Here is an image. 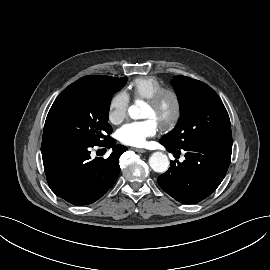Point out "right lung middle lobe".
<instances>
[{
	"instance_id": "right-lung-middle-lobe-1",
	"label": "right lung middle lobe",
	"mask_w": 270,
	"mask_h": 270,
	"mask_svg": "<svg viewBox=\"0 0 270 270\" xmlns=\"http://www.w3.org/2000/svg\"><path fill=\"white\" fill-rule=\"evenodd\" d=\"M126 81L127 77H111L74 82L68 86L49 110L42 143L103 144L112 133L107 122L111 97Z\"/></svg>"
}]
</instances>
